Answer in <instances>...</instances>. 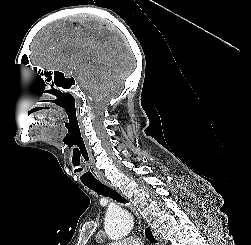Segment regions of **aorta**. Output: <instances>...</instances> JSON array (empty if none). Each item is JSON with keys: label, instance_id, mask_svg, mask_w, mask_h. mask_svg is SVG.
I'll list each match as a JSON object with an SVG mask.
<instances>
[{"label": "aorta", "instance_id": "762f6f07", "mask_svg": "<svg viewBox=\"0 0 251 245\" xmlns=\"http://www.w3.org/2000/svg\"><path fill=\"white\" fill-rule=\"evenodd\" d=\"M133 225V218L125 210L116 209L106 214L105 231L112 240H119L127 236L131 232Z\"/></svg>", "mask_w": 251, "mask_h": 245}]
</instances>
